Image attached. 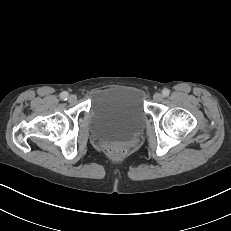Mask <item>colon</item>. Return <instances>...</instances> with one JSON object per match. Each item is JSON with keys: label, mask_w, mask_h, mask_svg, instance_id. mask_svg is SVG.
<instances>
[{"label": "colon", "mask_w": 231, "mask_h": 231, "mask_svg": "<svg viewBox=\"0 0 231 231\" xmlns=\"http://www.w3.org/2000/svg\"><path fill=\"white\" fill-rule=\"evenodd\" d=\"M108 151L112 156L121 157L127 151V146L122 143H114L108 147Z\"/></svg>", "instance_id": "1"}]
</instances>
